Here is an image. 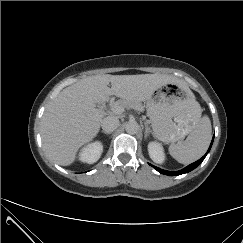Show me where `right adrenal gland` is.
I'll return each mask as SVG.
<instances>
[{
    "label": "right adrenal gland",
    "instance_id": "2a0ac1e0",
    "mask_svg": "<svg viewBox=\"0 0 243 243\" xmlns=\"http://www.w3.org/2000/svg\"><path fill=\"white\" fill-rule=\"evenodd\" d=\"M102 133H105L107 135L111 134L110 132H105V131H102Z\"/></svg>",
    "mask_w": 243,
    "mask_h": 243
}]
</instances>
